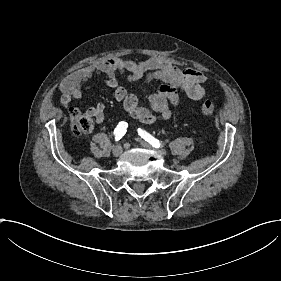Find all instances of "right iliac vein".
<instances>
[{"mask_svg": "<svg viewBox=\"0 0 281 281\" xmlns=\"http://www.w3.org/2000/svg\"><path fill=\"white\" fill-rule=\"evenodd\" d=\"M113 153L117 157L121 155L122 148H121V146L119 144L113 148Z\"/></svg>", "mask_w": 281, "mask_h": 281, "instance_id": "obj_1", "label": "right iliac vein"}]
</instances>
